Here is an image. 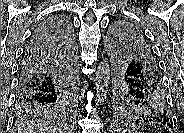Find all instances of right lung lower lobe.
I'll use <instances>...</instances> for the list:
<instances>
[{
    "label": "right lung lower lobe",
    "mask_w": 184,
    "mask_h": 133,
    "mask_svg": "<svg viewBox=\"0 0 184 133\" xmlns=\"http://www.w3.org/2000/svg\"><path fill=\"white\" fill-rule=\"evenodd\" d=\"M73 41L60 18L47 19L36 28L23 53L16 104H40L61 92L73 63Z\"/></svg>",
    "instance_id": "1"
}]
</instances>
